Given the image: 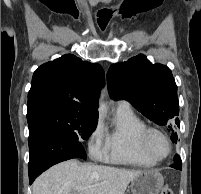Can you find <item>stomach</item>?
<instances>
[{
  "instance_id": "stomach-1",
  "label": "stomach",
  "mask_w": 201,
  "mask_h": 194,
  "mask_svg": "<svg viewBox=\"0 0 201 194\" xmlns=\"http://www.w3.org/2000/svg\"><path fill=\"white\" fill-rule=\"evenodd\" d=\"M164 178L155 171H144L131 181L132 194H159Z\"/></svg>"
}]
</instances>
